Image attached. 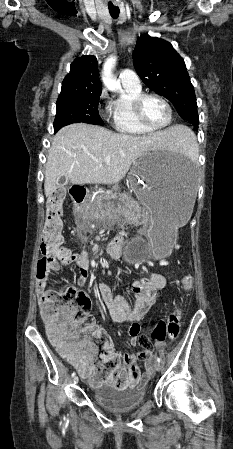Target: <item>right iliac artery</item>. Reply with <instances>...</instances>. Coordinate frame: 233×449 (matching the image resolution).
<instances>
[{
	"label": "right iliac artery",
	"instance_id": "obj_1",
	"mask_svg": "<svg viewBox=\"0 0 233 449\" xmlns=\"http://www.w3.org/2000/svg\"><path fill=\"white\" fill-rule=\"evenodd\" d=\"M75 375H76V373H75V372H73L71 376H72V377H74Z\"/></svg>",
	"mask_w": 233,
	"mask_h": 449
}]
</instances>
